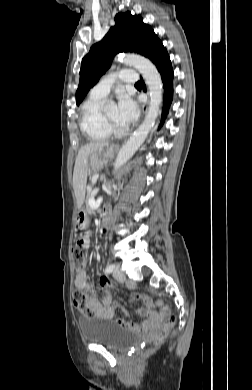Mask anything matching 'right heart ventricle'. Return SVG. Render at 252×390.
I'll return each mask as SVG.
<instances>
[{
  "label": "right heart ventricle",
  "mask_w": 252,
  "mask_h": 390,
  "mask_svg": "<svg viewBox=\"0 0 252 390\" xmlns=\"http://www.w3.org/2000/svg\"><path fill=\"white\" fill-rule=\"evenodd\" d=\"M103 99L90 95L81 106L80 129L92 141H104L111 136L102 117Z\"/></svg>",
  "instance_id": "1"
}]
</instances>
